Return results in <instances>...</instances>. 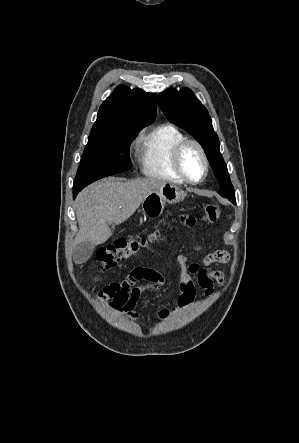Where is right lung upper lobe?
Listing matches in <instances>:
<instances>
[{
	"label": "right lung upper lobe",
	"instance_id": "cb5924a9",
	"mask_svg": "<svg viewBox=\"0 0 299 443\" xmlns=\"http://www.w3.org/2000/svg\"><path fill=\"white\" fill-rule=\"evenodd\" d=\"M156 108V94L119 85L101 105L90 135L149 125L156 117Z\"/></svg>",
	"mask_w": 299,
	"mask_h": 443
}]
</instances>
